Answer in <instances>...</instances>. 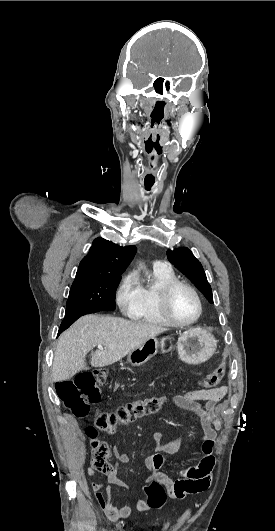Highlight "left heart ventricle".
Segmentation results:
<instances>
[{"label": "left heart ventricle", "instance_id": "left-heart-ventricle-1", "mask_svg": "<svg viewBox=\"0 0 275 531\" xmlns=\"http://www.w3.org/2000/svg\"><path fill=\"white\" fill-rule=\"evenodd\" d=\"M169 306L173 316L183 322L192 320L198 311L195 298L183 287H178L173 291Z\"/></svg>", "mask_w": 275, "mask_h": 531}]
</instances>
